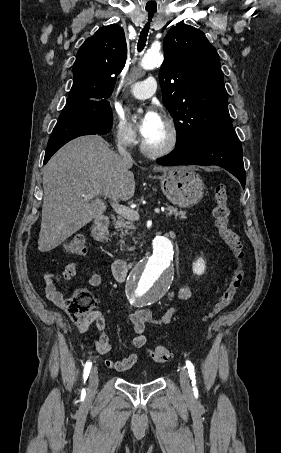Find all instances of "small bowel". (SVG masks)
Here are the masks:
<instances>
[{
	"mask_svg": "<svg viewBox=\"0 0 281 453\" xmlns=\"http://www.w3.org/2000/svg\"><path fill=\"white\" fill-rule=\"evenodd\" d=\"M75 275V263H69L63 272L57 276H54L51 272H46L43 277V286L46 297L51 300L59 308L66 310L69 307L68 299L58 289V283L61 280H69ZM101 275L96 272H92L88 275V281L91 286L101 285ZM192 298V292L189 288L183 287L179 294L178 300L180 302L190 300ZM176 312L174 307L169 308L160 316H152L150 311L147 309H138L131 315V321L134 327L135 336L133 338L132 348L134 350L141 349L145 342L144 328L146 325L152 326H164L169 323L172 316ZM96 321L99 328L102 330L101 334L92 340V345L98 351L99 356H106L111 350V344L108 335L103 331L105 320L104 314L101 310H94L92 314L87 318V323ZM86 327L83 325L82 328ZM137 361L136 353L131 350L122 359H108L106 365L110 370H128Z\"/></svg>",
	"mask_w": 281,
	"mask_h": 453,
	"instance_id": "small-bowel-1",
	"label": "small bowel"
}]
</instances>
